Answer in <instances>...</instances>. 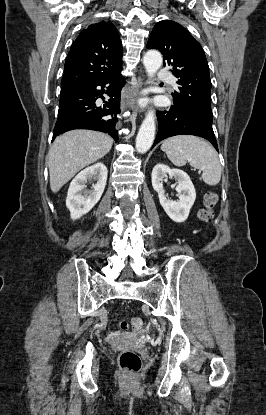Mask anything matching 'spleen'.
<instances>
[{"instance_id": "3e777b00", "label": "spleen", "mask_w": 266, "mask_h": 415, "mask_svg": "<svg viewBox=\"0 0 266 415\" xmlns=\"http://www.w3.org/2000/svg\"><path fill=\"white\" fill-rule=\"evenodd\" d=\"M161 150L178 167L187 162L202 170L201 179L210 186L217 185L221 179L222 168L218 154L206 141L191 135H180L166 139Z\"/></svg>"}]
</instances>
